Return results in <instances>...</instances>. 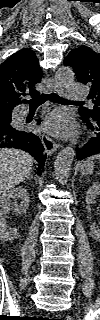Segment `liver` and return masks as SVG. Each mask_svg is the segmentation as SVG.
I'll return each instance as SVG.
<instances>
[{
	"instance_id": "1",
	"label": "liver",
	"mask_w": 100,
	"mask_h": 320,
	"mask_svg": "<svg viewBox=\"0 0 100 320\" xmlns=\"http://www.w3.org/2000/svg\"><path fill=\"white\" fill-rule=\"evenodd\" d=\"M33 163V157L22 150L2 148L0 150L1 194L30 177Z\"/></svg>"
}]
</instances>
